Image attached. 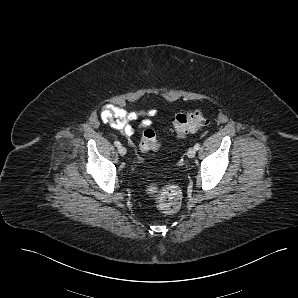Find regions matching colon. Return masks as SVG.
<instances>
[{"instance_id":"5ec220e1","label":"colon","mask_w":298,"mask_h":298,"mask_svg":"<svg viewBox=\"0 0 298 298\" xmlns=\"http://www.w3.org/2000/svg\"><path fill=\"white\" fill-rule=\"evenodd\" d=\"M206 124L203 113L193 110L178 114L173 123V131L177 137H185L194 133ZM161 142L152 129H146L141 138L140 148L144 152H153L160 148ZM151 199L158 210L163 213H174L181 205L182 192L173 184L151 185L148 189Z\"/></svg>"}]
</instances>
